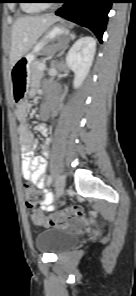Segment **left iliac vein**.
Masks as SVG:
<instances>
[{
	"label": "left iliac vein",
	"mask_w": 136,
	"mask_h": 296,
	"mask_svg": "<svg viewBox=\"0 0 136 296\" xmlns=\"http://www.w3.org/2000/svg\"><path fill=\"white\" fill-rule=\"evenodd\" d=\"M56 197L59 199L63 194H64V189H65V179L63 176H58L56 180Z\"/></svg>",
	"instance_id": "4c4485c4"
}]
</instances>
